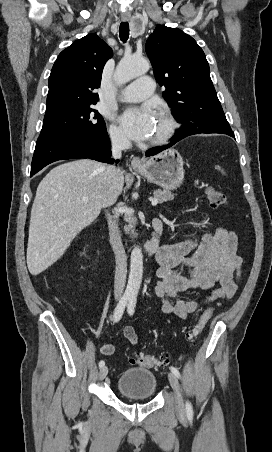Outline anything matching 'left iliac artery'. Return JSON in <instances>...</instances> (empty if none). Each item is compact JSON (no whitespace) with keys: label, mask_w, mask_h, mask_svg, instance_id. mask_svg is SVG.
I'll list each match as a JSON object with an SVG mask.
<instances>
[{"label":"left iliac artery","mask_w":272,"mask_h":452,"mask_svg":"<svg viewBox=\"0 0 272 452\" xmlns=\"http://www.w3.org/2000/svg\"><path fill=\"white\" fill-rule=\"evenodd\" d=\"M136 302H137L136 296H130V298H129V303H128V307H127V311H128V313H129L130 315H133V314H134L135 307H136ZM170 370L172 371V373H173L176 377H178V378L180 377V372H179V370H178L176 367L171 366V367H170ZM186 413H187V415H188L189 417H192V416H193V407H192V405H191L190 402H187V403H186Z\"/></svg>","instance_id":"left-iliac-artery-1"}]
</instances>
